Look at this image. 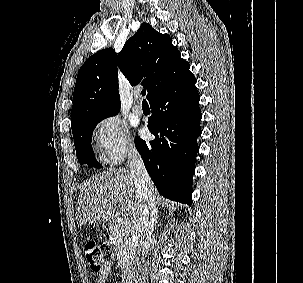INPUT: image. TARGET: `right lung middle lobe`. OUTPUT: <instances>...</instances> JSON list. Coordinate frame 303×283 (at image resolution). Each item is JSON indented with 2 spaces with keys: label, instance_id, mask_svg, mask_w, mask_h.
I'll return each mask as SVG.
<instances>
[{
  "label": "right lung middle lobe",
  "instance_id": "obj_1",
  "mask_svg": "<svg viewBox=\"0 0 303 283\" xmlns=\"http://www.w3.org/2000/svg\"><path fill=\"white\" fill-rule=\"evenodd\" d=\"M100 121L101 120H94L86 122L72 131L78 162L81 165L88 164V167H102L96 161L91 145L92 132Z\"/></svg>",
  "mask_w": 303,
  "mask_h": 283
}]
</instances>
